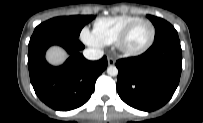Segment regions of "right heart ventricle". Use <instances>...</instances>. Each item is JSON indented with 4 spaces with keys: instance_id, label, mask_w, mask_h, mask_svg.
I'll return each instance as SVG.
<instances>
[{
    "instance_id": "obj_1",
    "label": "right heart ventricle",
    "mask_w": 203,
    "mask_h": 123,
    "mask_svg": "<svg viewBox=\"0 0 203 123\" xmlns=\"http://www.w3.org/2000/svg\"><path fill=\"white\" fill-rule=\"evenodd\" d=\"M138 19L140 17L131 15L98 18L93 25V34L102 45H110L130 23Z\"/></svg>"
}]
</instances>
